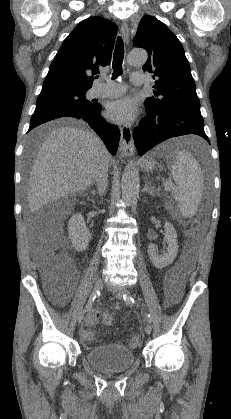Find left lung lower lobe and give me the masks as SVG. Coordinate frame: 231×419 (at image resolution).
Masks as SVG:
<instances>
[{
	"label": "left lung lower lobe",
	"instance_id": "0a47b994",
	"mask_svg": "<svg viewBox=\"0 0 231 419\" xmlns=\"http://www.w3.org/2000/svg\"><path fill=\"white\" fill-rule=\"evenodd\" d=\"M145 108L148 114L133 131L134 142L140 155L168 138L187 134L201 136L210 143L204 131L200 105L174 106L158 110L146 106Z\"/></svg>",
	"mask_w": 231,
	"mask_h": 419
}]
</instances>
